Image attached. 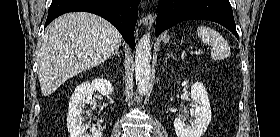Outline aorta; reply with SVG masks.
Wrapping results in <instances>:
<instances>
[{"instance_id": "1", "label": "aorta", "mask_w": 280, "mask_h": 137, "mask_svg": "<svg viewBox=\"0 0 280 137\" xmlns=\"http://www.w3.org/2000/svg\"><path fill=\"white\" fill-rule=\"evenodd\" d=\"M151 42L149 33L144 35L136 46L135 79L139 94L148 91L151 75Z\"/></svg>"}]
</instances>
